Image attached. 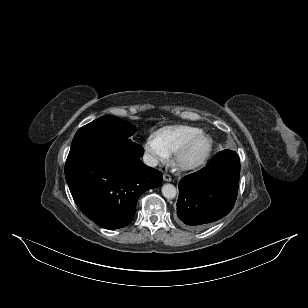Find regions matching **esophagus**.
Returning <instances> with one entry per match:
<instances>
[{"label": "esophagus", "instance_id": "1", "mask_svg": "<svg viewBox=\"0 0 308 308\" xmlns=\"http://www.w3.org/2000/svg\"><path fill=\"white\" fill-rule=\"evenodd\" d=\"M163 180H164L165 182H171V181H172L171 175H169V174H163Z\"/></svg>", "mask_w": 308, "mask_h": 308}]
</instances>
